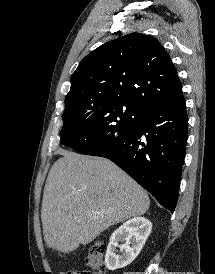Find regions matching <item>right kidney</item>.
I'll use <instances>...</instances> for the list:
<instances>
[{
  "mask_svg": "<svg viewBox=\"0 0 215 274\" xmlns=\"http://www.w3.org/2000/svg\"><path fill=\"white\" fill-rule=\"evenodd\" d=\"M151 229L152 223L144 217H135L123 223L110 237L105 255L106 267L114 271L129 265L140 253ZM117 248L121 254H118Z\"/></svg>",
  "mask_w": 215,
  "mask_h": 274,
  "instance_id": "obj_1",
  "label": "right kidney"
}]
</instances>
